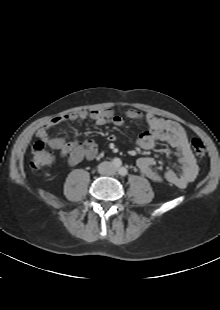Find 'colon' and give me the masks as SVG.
<instances>
[{
    "instance_id": "5ec220e1",
    "label": "colon",
    "mask_w": 220,
    "mask_h": 310,
    "mask_svg": "<svg viewBox=\"0 0 220 310\" xmlns=\"http://www.w3.org/2000/svg\"><path fill=\"white\" fill-rule=\"evenodd\" d=\"M191 145L197 157L203 158L205 156V146L200 139H193ZM53 161L54 155L46 148L44 142L37 141L33 144L31 148V158L29 162L30 167L33 170H40L48 167L53 163Z\"/></svg>"
}]
</instances>
